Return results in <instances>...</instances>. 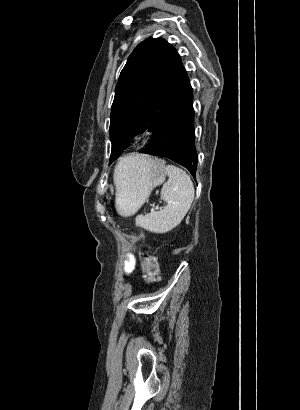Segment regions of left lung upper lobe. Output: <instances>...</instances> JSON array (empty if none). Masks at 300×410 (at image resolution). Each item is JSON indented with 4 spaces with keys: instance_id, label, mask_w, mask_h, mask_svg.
I'll list each match as a JSON object with an SVG mask.
<instances>
[{
    "instance_id": "5c2ea615",
    "label": "left lung upper lobe",
    "mask_w": 300,
    "mask_h": 410,
    "mask_svg": "<svg viewBox=\"0 0 300 410\" xmlns=\"http://www.w3.org/2000/svg\"><path fill=\"white\" fill-rule=\"evenodd\" d=\"M189 77L176 49L161 38H148L130 54L121 71L111 108L110 163L128 147V139L153 132L182 98Z\"/></svg>"
}]
</instances>
